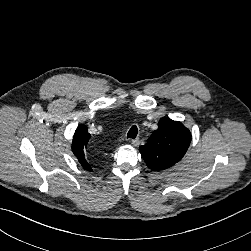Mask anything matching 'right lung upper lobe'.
<instances>
[{"instance_id": "1", "label": "right lung upper lobe", "mask_w": 251, "mask_h": 251, "mask_svg": "<svg viewBox=\"0 0 251 251\" xmlns=\"http://www.w3.org/2000/svg\"><path fill=\"white\" fill-rule=\"evenodd\" d=\"M90 137L85 125L78 126L73 136L72 151L84 169L93 171L84 153Z\"/></svg>"}]
</instances>
